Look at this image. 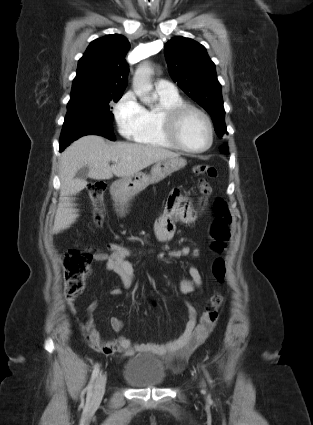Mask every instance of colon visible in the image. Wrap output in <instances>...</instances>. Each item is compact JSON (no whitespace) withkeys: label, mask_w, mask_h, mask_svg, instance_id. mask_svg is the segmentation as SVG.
I'll use <instances>...</instances> for the list:
<instances>
[{"label":"colon","mask_w":313,"mask_h":425,"mask_svg":"<svg viewBox=\"0 0 313 425\" xmlns=\"http://www.w3.org/2000/svg\"><path fill=\"white\" fill-rule=\"evenodd\" d=\"M193 172L198 176H206L210 179L217 178V170L210 165L200 164L193 168ZM200 193L208 196L211 187L206 179L201 178L198 183ZM106 186L103 182H93L88 186V194L95 210L93 222L100 225L103 219L102 199ZM214 216L211 227L212 244L210 249L214 253H223L227 249V242L232 233V216L225 199L217 198L212 206ZM195 256L200 255L199 251L194 252ZM93 262L92 254L77 249L68 250L63 257V267L65 273V292L68 298L79 296L85 285V280L91 271ZM212 276L215 280L222 282L226 276V265L222 258H217L212 264ZM222 302V296L214 293L210 297L211 310L217 312Z\"/></svg>","instance_id":"colon-1"}]
</instances>
